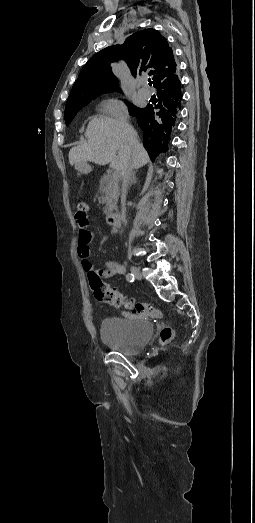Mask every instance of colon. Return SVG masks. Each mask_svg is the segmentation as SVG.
I'll list each match as a JSON object with an SVG mask.
<instances>
[{
    "label": "colon",
    "mask_w": 255,
    "mask_h": 523,
    "mask_svg": "<svg viewBox=\"0 0 255 523\" xmlns=\"http://www.w3.org/2000/svg\"><path fill=\"white\" fill-rule=\"evenodd\" d=\"M89 204L85 201H80L76 205V221L78 225L84 226L88 224L87 213ZM90 287L94 293L95 298L103 303L109 304L116 308H124L138 315H150L153 317H160L161 311L154 306L129 299L118 291L108 287L96 272L88 274ZM174 338V330L170 327H164L159 334V343L165 345Z\"/></svg>",
    "instance_id": "5ec220e1"
}]
</instances>
